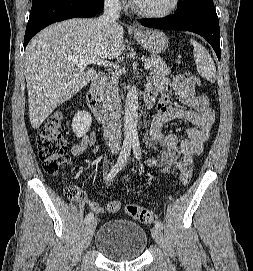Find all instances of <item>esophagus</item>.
Masks as SVG:
<instances>
[{"label":"esophagus","instance_id":"1","mask_svg":"<svg viewBox=\"0 0 253 271\" xmlns=\"http://www.w3.org/2000/svg\"><path fill=\"white\" fill-rule=\"evenodd\" d=\"M131 28H132V30L137 31V26H136L135 24H133V25L131 26Z\"/></svg>","mask_w":253,"mask_h":271}]
</instances>
